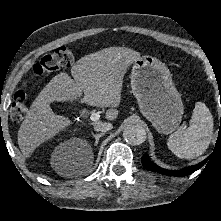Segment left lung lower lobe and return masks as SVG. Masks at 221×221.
<instances>
[{
    "instance_id": "0a47b994",
    "label": "left lung lower lobe",
    "mask_w": 221,
    "mask_h": 221,
    "mask_svg": "<svg viewBox=\"0 0 221 221\" xmlns=\"http://www.w3.org/2000/svg\"><path fill=\"white\" fill-rule=\"evenodd\" d=\"M207 159L204 160L203 162L197 164V165H193V166H189L186 167L184 169L181 170H176V171H171V170H167L164 168L159 167L158 165L154 164L149 158H148V154H144L142 157V165L153 172H158L164 175H168V176H177V177H182V176H187L189 174H192L194 171L200 169L205 163H206Z\"/></svg>"
}]
</instances>
